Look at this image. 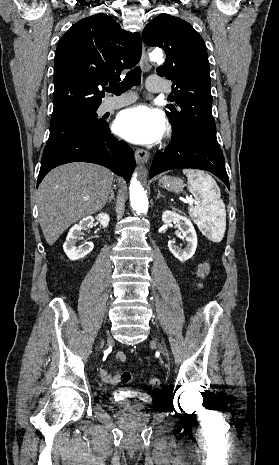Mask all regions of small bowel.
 Segmentation results:
<instances>
[{"label": "small bowel", "instance_id": "small-bowel-1", "mask_svg": "<svg viewBox=\"0 0 279 465\" xmlns=\"http://www.w3.org/2000/svg\"><path fill=\"white\" fill-rule=\"evenodd\" d=\"M126 355L123 352H117L115 354V360L118 362H125ZM99 375L101 379L109 384H117L120 381V375L118 373H113L109 370V368H103L100 370Z\"/></svg>", "mask_w": 279, "mask_h": 465}]
</instances>
